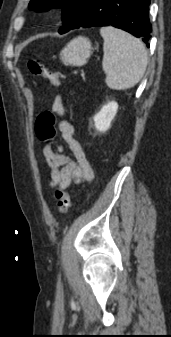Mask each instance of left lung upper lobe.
<instances>
[{"label": "left lung upper lobe", "mask_w": 171, "mask_h": 337, "mask_svg": "<svg viewBox=\"0 0 171 337\" xmlns=\"http://www.w3.org/2000/svg\"><path fill=\"white\" fill-rule=\"evenodd\" d=\"M85 2L86 0H31L29 9L43 11L48 10L50 7L62 8L63 26L60 28L59 33L63 34L68 32L75 24Z\"/></svg>", "instance_id": "1"}]
</instances>
